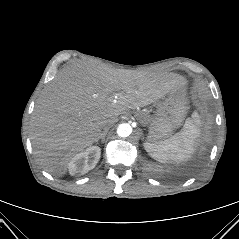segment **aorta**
<instances>
[{
	"label": "aorta",
	"instance_id": "1",
	"mask_svg": "<svg viewBox=\"0 0 239 239\" xmlns=\"http://www.w3.org/2000/svg\"><path fill=\"white\" fill-rule=\"evenodd\" d=\"M131 133L132 127L127 123L120 124L117 128V134L119 137L125 138L128 137Z\"/></svg>",
	"mask_w": 239,
	"mask_h": 239
}]
</instances>
